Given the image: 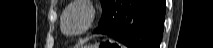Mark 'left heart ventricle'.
Returning <instances> with one entry per match:
<instances>
[{
  "label": "left heart ventricle",
  "instance_id": "b2bd125f",
  "mask_svg": "<svg viewBox=\"0 0 213 48\" xmlns=\"http://www.w3.org/2000/svg\"><path fill=\"white\" fill-rule=\"evenodd\" d=\"M87 22V13L82 8H73L69 11L65 18V29L67 32H79Z\"/></svg>",
  "mask_w": 213,
  "mask_h": 48
}]
</instances>
